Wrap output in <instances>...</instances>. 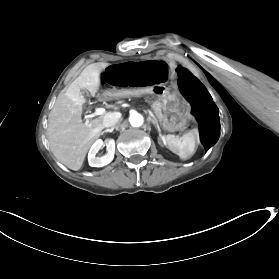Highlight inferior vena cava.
<instances>
[{"label": "inferior vena cava", "instance_id": "obj_1", "mask_svg": "<svg viewBox=\"0 0 279 279\" xmlns=\"http://www.w3.org/2000/svg\"><path fill=\"white\" fill-rule=\"evenodd\" d=\"M120 117H121L120 113H111V112H109V113L105 114L104 119H103L104 127L114 126L115 123L118 122V119Z\"/></svg>", "mask_w": 279, "mask_h": 279}]
</instances>
